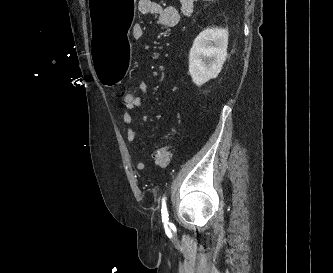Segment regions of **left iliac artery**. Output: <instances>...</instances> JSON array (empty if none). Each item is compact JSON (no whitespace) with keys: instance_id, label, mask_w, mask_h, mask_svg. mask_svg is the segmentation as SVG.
I'll use <instances>...</instances> for the list:
<instances>
[{"instance_id":"1","label":"left iliac artery","mask_w":333,"mask_h":273,"mask_svg":"<svg viewBox=\"0 0 333 273\" xmlns=\"http://www.w3.org/2000/svg\"><path fill=\"white\" fill-rule=\"evenodd\" d=\"M161 216H162V222L164 224H168V210H167V206H166V197L162 198V208H161Z\"/></svg>"}]
</instances>
